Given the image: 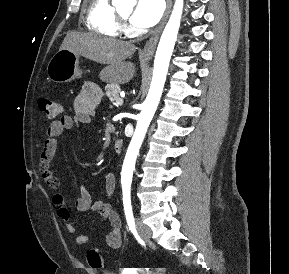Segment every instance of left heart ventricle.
<instances>
[{
    "label": "left heart ventricle",
    "mask_w": 289,
    "mask_h": 274,
    "mask_svg": "<svg viewBox=\"0 0 289 274\" xmlns=\"http://www.w3.org/2000/svg\"><path fill=\"white\" fill-rule=\"evenodd\" d=\"M132 12V9L131 8H126V9H123V10H120V14L126 18H128L130 16Z\"/></svg>",
    "instance_id": "obj_1"
}]
</instances>
